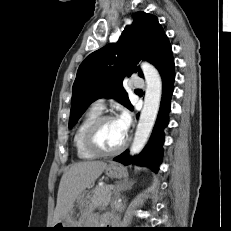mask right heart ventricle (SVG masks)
Segmentation results:
<instances>
[{"label":"right heart ventricle","mask_w":231,"mask_h":231,"mask_svg":"<svg viewBox=\"0 0 231 231\" xmlns=\"http://www.w3.org/2000/svg\"><path fill=\"white\" fill-rule=\"evenodd\" d=\"M101 112L93 109L92 107L85 113L81 121L78 123L74 135H73V145L76 151V155L81 160H92L96 158L97 155L90 152L84 141L85 133L88 127L93 123V121L100 116Z\"/></svg>","instance_id":"e07e8e85"}]
</instances>
